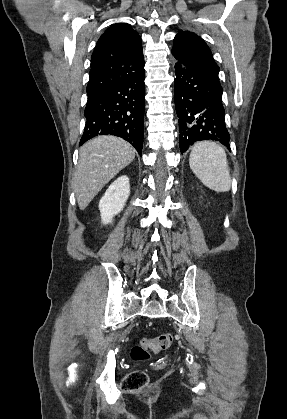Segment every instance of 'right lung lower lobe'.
Here are the masks:
<instances>
[{
    "label": "right lung lower lobe",
    "mask_w": 287,
    "mask_h": 419,
    "mask_svg": "<svg viewBox=\"0 0 287 419\" xmlns=\"http://www.w3.org/2000/svg\"><path fill=\"white\" fill-rule=\"evenodd\" d=\"M144 69L133 77L112 84L88 96L86 125L80 145L97 135H114L131 143L142 155Z\"/></svg>",
    "instance_id": "98d812e1"
}]
</instances>
